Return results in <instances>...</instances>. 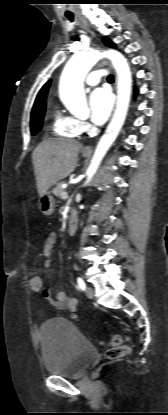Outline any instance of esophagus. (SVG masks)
<instances>
[{
	"mask_svg": "<svg viewBox=\"0 0 168 415\" xmlns=\"http://www.w3.org/2000/svg\"><path fill=\"white\" fill-rule=\"evenodd\" d=\"M78 21H79L80 26L83 29H85L88 32L92 33L91 30H90V27H89L88 23L81 16H78ZM102 64L109 65L110 68L112 69L111 65L109 64V62L107 60H102ZM84 151H92V146H86L84 148Z\"/></svg>",
	"mask_w": 168,
	"mask_h": 415,
	"instance_id": "1",
	"label": "esophagus"
}]
</instances>
